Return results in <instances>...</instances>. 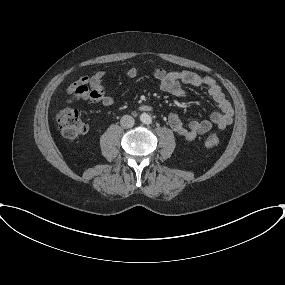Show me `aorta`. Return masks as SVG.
Masks as SVG:
<instances>
[{"label": "aorta", "instance_id": "762f6f07", "mask_svg": "<svg viewBox=\"0 0 285 285\" xmlns=\"http://www.w3.org/2000/svg\"><path fill=\"white\" fill-rule=\"evenodd\" d=\"M140 120H141V122H143L145 124H150L152 121V118L147 113H142L140 116Z\"/></svg>", "mask_w": 285, "mask_h": 285}]
</instances>
